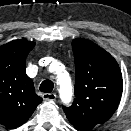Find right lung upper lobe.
Here are the masks:
<instances>
[{
	"label": "right lung upper lobe",
	"mask_w": 131,
	"mask_h": 131,
	"mask_svg": "<svg viewBox=\"0 0 131 131\" xmlns=\"http://www.w3.org/2000/svg\"><path fill=\"white\" fill-rule=\"evenodd\" d=\"M34 46L25 39L0 46V124L8 128L25 123L42 102L25 72L26 57Z\"/></svg>",
	"instance_id": "cb5924a9"
}]
</instances>
